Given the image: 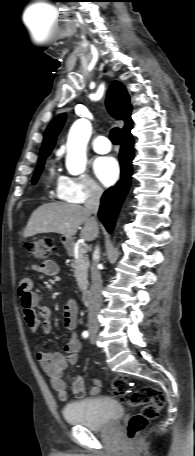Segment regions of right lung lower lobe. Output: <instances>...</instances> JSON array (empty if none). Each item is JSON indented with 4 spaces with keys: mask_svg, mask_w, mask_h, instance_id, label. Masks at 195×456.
<instances>
[{
    "mask_svg": "<svg viewBox=\"0 0 195 456\" xmlns=\"http://www.w3.org/2000/svg\"><path fill=\"white\" fill-rule=\"evenodd\" d=\"M134 140L131 133L123 135L120 149L121 180L113 187L109 188L102 196L99 219L104 224L108 232H112L115 220L120 210L121 204L128 192L131 175Z\"/></svg>",
    "mask_w": 195,
    "mask_h": 456,
    "instance_id": "1",
    "label": "right lung lower lobe"
}]
</instances>
